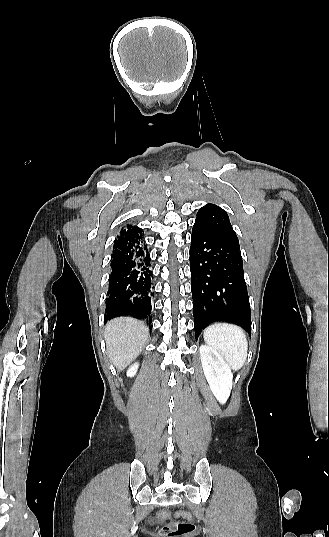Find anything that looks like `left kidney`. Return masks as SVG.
Masks as SVG:
<instances>
[{
	"label": "left kidney",
	"mask_w": 329,
	"mask_h": 537,
	"mask_svg": "<svg viewBox=\"0 0 329 537\" xmlns=\"http://www.w3.org/2000/svg\"><path fill=\"white\" fill-rule=\"evenodd\" d=\"M199 351L204 374L210 389L216 399L224 404L232 389V371L214 348L201 345Z\"/></svg>",
	"instance_id": "obj_1"
}]
</instances>
